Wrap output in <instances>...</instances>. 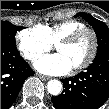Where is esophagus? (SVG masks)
Instances as JSON below:
<instances>
[{"mask_svg":"<svg viewBox=\"0 0 109 109\" xmlns=\"http://www.w3.org/2000/svg\"><path fill=\"white\" fill-rule=\"evenodd\" d=\"M38 76H39L40 79H42L43 81H48V80L50 79V77L44 76V75H41V74H39Z\"/></svg>","mask_w":109,"mask_h":109,"instance_id":"1","label":"esophagus"}]
</instances>
